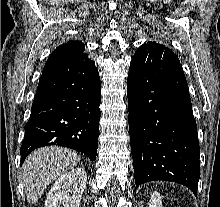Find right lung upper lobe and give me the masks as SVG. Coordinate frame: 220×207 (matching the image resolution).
<instances>
[{"instance_id": "1", "label": "right lung upper lobe", "mask_w": 220, "mask_h": 207, "mask_svg": "<svg viewBox=\"0 0 220 207\" xmlns=\"http://www.w3.org/2000/svg\"><path fill=\"white\" fill-rule=\"evenodd\" d=\"M85 45L80 41H68L58 46L48 57V59H58L72 56L84 51Z\"/></svg>"}]
</instances>
